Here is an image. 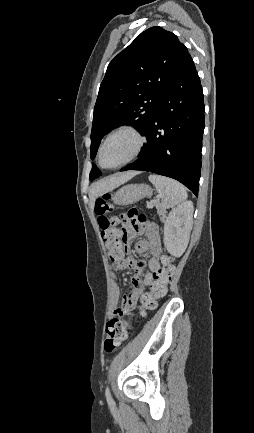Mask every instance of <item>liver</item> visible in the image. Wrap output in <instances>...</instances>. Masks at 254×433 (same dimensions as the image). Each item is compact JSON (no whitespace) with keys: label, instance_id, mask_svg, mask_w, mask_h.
Here are the masks:
<instances>
[{"label":"liver","instance_id":"liver-1","mask_svg":"<svg viewBox=\"0 0 254 433\" xmlns=\"http://www.w3.org/2000/svg\"><path fill=\"white\" fill-rule=\"evenodd\" d=\"M137 174L138 172L130 171L120 175H113L104 178L92 184L89 191V199H90L91 207L94 208L95 201L99 196L107 192H110L113 189L117 188L118 186L126 183Z\"/></svg>","mask_w":254,"mask_h":433}]
</instances>
